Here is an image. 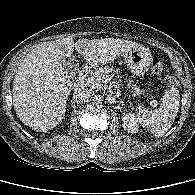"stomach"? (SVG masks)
<instances>
[{
  "mask_svg": "<svg viewBox=\"0 0 195 195\" xmlns=\"http://www.w3.org/2000/svg\"><path fill=\"white\" fill-rule=\"evenodd\" d=\"M125 63L128 69L135 75L145 74L151 65L152 55L142 45H137L124 53Z\"/></svg>",
  "mask_w": 195,
  "mask_h": 195,
  "instance_id": "stomach-1",
  "label": "stomach"
}]
</instances>
